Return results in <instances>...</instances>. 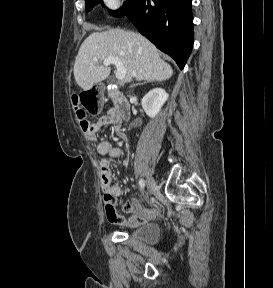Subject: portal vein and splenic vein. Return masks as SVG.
Segmentation results:
<instances>
[{"mask_svg": "<svg viewBox=\"0 0 273 288\" xmlns=\"http://www.w3.org/2000/svg\"><path fill=\"white\" fill-rule=\"evenodd\" d=\"M94 60L97 61V58H94ZM111 64L115 65L117 68V71L115 73L116 78L118 80H123L126 75V69L123 67L121 61L116 57H107L103 60L104 66H109Z\"/></svg>", "mask_w": 273, "mask_h": 288, "instance_id": "obj_1", "label": "portal vein and splenic vein"}]
</instances>
